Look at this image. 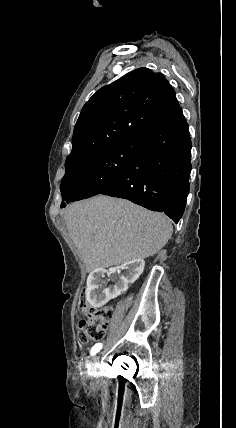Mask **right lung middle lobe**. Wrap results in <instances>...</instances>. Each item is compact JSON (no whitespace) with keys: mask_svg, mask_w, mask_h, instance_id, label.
<instances>
[{"mask_svg":"<svg viewBox=\"0 0 236 428\" xmlns=\"http://www.w3.org/2000/svg\"><path fill=\"white\" fill-rule=\"evenodd\" d=\"M137 140L120 142L68 167L61 180V208L96 195L113 181L137 154Z\"/></svg>","mask_w":236,"mask_h":428,"instance_id":"1","label":"right lung middle lobe"}]
</instances>
